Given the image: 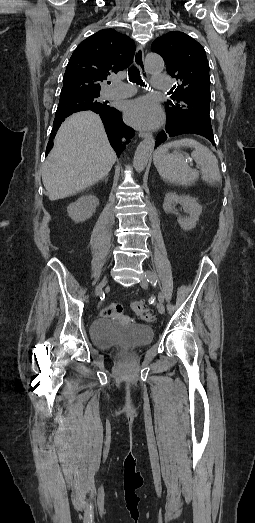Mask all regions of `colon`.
Wrapping results in <instances>:
<instances>
[{
  "label": "colon",
  "instance_id": "colon-1",
  "mask_svg": "<svg viewBox=\"0 0 255 523\" xmlns=\"http://www.w3.org/2000/svg\"><path fill=\"white\" fill-rule=\"evenodd\" d=\"M131 309L134 314L145 322H151L154 319L152 312L146 307L141 300L131 303ZM123 311V306L119 303H110L103 310L102 314L106 316L119 315Z\"/></svg>",
  "mask_w": 255,
  "mask_h": 523
}]
</instances>
